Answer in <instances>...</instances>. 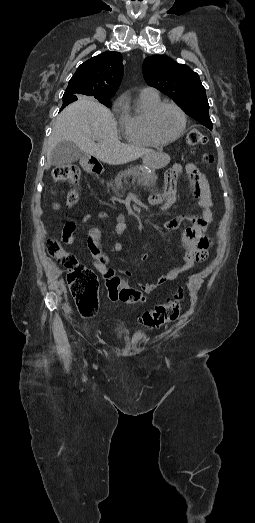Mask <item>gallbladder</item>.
Listing matches in <instances>:
<instances>
[{"instance_id": "gallbladder-1", "label": "gallbladder", "mask_w": 255, "mask_h": 523, "mask_svg": "<svg viewBox=\"0 0 255 523\" xmlns=\"http://www.w3.org/2000/svg\"><path fill=\"white\" fill-rule=\"evenodd\" d=\"M80 158H86L85 152H82L74 142H59L55 148H53L50 156L51 166H72L73 162H77Z\"/></svg>"}]
</instances>
